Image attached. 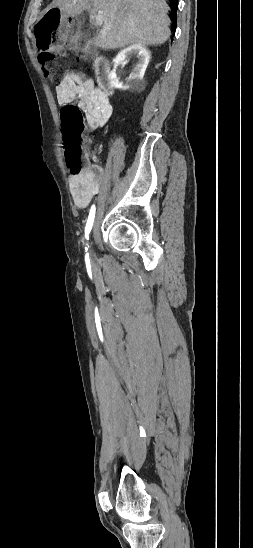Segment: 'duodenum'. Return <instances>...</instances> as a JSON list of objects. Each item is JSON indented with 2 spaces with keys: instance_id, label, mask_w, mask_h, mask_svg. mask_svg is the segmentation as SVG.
Here are the masks:
<instances>
[{
  "instance_id": "duodenum-1",
  "label": "duodenum",
  "mask_w": 253,
  "mask_h": 548,
  "mask_svg": "<svg viewBox=\"0 0 253 548\" xmlns=\"http://www.w3.org/2000/svg\"><path fill=\"white\" fill-rule=\"evenodd\" d=\"M94 70L97 79V83L106 95L113 92V86L110 78V65L105 57H98L94 62Z\"/></svg>"
}]
</instances>
